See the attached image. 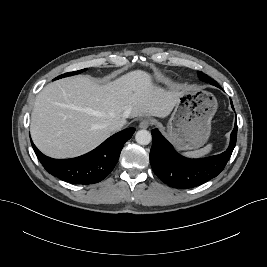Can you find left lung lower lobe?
Returning <instances> with one entry per match:
<instances>
[{
  "label": "left lung lower lobe",
  "mask_w": 267,
  "mask_h": 267,
  "mask_svg": "<svg viewBox=\"0 0 267 267\" xmlns=\"http://www.w3.org/2000/svg\"><path fill=\"white\" fill-rule=\"evenodd\" d=\"M231 105L234 109L232 101ZM151 133L150 163L154 173L167 185L186 189L205 183L224 169L236 145L237 122L228 149L219 155L201 159H188L178 154L156 128Z\"/></svg>",
  "instance_id": "1"
}]
</instances>
